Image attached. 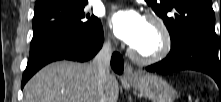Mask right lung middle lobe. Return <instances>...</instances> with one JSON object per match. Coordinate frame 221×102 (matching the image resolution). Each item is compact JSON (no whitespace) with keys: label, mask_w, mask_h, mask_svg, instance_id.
Returning <instances> with one entry per match:
<instances>
[{"label":"right lung middle lobe","mask_w":221,"mask_h":102,"mask_svg":"<svg viewBox=\"0 0 221 102\" xmlns=\"http://www.w3.org/2000/svg\"><path fill=\"white\" fill-rule=\"evenodd\" d=\"M88 0H46L35 5L30 52L46 41L67 33L87 34L101 24L87 13Z\"/></svg>","instance_id":"dd1d6c3e"}]
</instances>
